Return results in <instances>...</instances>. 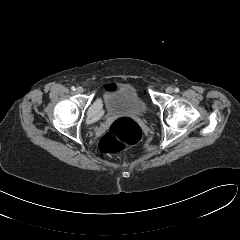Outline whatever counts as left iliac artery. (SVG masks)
Segmentation results:
<instances>
[{"instance_id": "1", "label": "left iliac artery", "mask_w": 240, "mask_h": 240, "mask_svg": "<svg viewBox=\"0 0 240 240\" xmlns=\"http://www.w3.org/2000/svg\"><path fill=\"white\" fill-rule=\"evenodd\" d=\"M174 91H175V93H178V92H179V88L176 87V88L174 89Z\"/></svg>"}]
</instances>
